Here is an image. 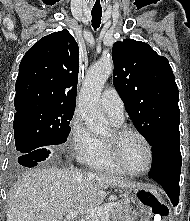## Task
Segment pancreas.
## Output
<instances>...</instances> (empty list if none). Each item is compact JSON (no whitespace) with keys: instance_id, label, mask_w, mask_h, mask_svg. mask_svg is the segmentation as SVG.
<instances>
[{"instance_id":"pancreas-1","label":"pancreas","mask_w":190,"mask_h":221,"mask_svg":"<svg viewBox=\"0 0 190 221\" xmlns=\"http://www.w3.org/2000/svg\"><path fill=\"white\" fill-rule=\"evenodd\" d=\"M120 205L113 208L111 210L112 217L114 219H119L122 221H132L133 216L129 213V202L128 201H120ZM106 206V205H104ZM102 206V207H104ZM89 221H102L101 218H90Z\"/></svg>"}]
</instances>
